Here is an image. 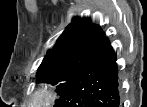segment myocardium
Returning <instances> with one entry per match:
<instances>
[{
  "label": "myocardium",
  "mask_w": 147,
  "mask_h": 107,
  "mask_svg": "<svg viewBox=\"0 0 147 107\" xmlns=\"http://www.w3.org/2000/svg\"><path fill=\"white\" fill-rule=\"evenodd\" d=\"M55 98L56 90L50 85H45L36 91L35 100L32 102L39 105H48L52 103Z\"/></svg>",
  "instance_id": "myocardium-1"
}]
</instances>
